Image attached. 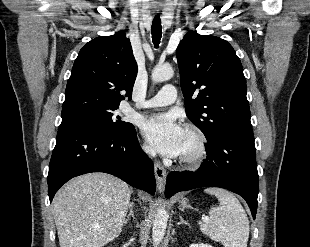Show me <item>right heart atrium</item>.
I'll use <instances>...</instances> for the list:
<instances>
[{
	"label": "right heart atrium",
	"mask_w": 310,
	"mask_h": 247,
	"mask_svg": "<svg viewBox=\"0 0 310 247\" xmlns=\"http://www.w3.org/2000/svg\"><path fill=\"white\" fill-rule=\"evenodd\" d=\"M142 149L147 154H151L152 153L151 147L148 144H146V143H144L142 145Z\"/></svg>",
	"instance_id": "right-heart-atrium-1"
}]
</instances>
